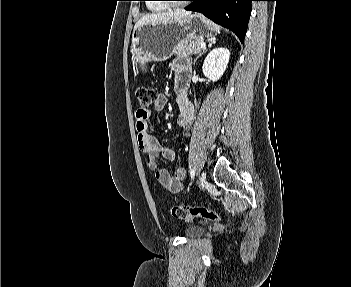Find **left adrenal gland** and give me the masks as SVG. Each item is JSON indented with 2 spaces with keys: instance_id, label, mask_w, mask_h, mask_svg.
I'll use <instances>...</instances> for the list:
<instances>
[{
  "instance_id": "a2214340",
  "label": "left adrenal gland",
  "mask_w": 351,
  "mask_h": 287,
  "mask_svg": "<svg viewBox=\"0 0 351 287\" xmlns=\"http://www.w3.org/2000/svg\"><path fill=\"white\" fill-rule=\"evenodd\" d=\"M213 43H215V42L213 41ZM211 45H212V43L210 44V47H211ZM204 52H205V51H202L201 53L198 54V56H197L196 59L194 60V64H195L196 60H197Z\"/></svg>"
}]
</instances>
